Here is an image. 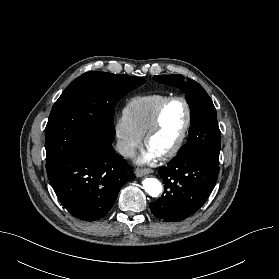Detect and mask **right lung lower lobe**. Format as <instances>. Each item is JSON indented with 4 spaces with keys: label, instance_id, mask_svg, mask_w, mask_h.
<instances>
[{
    "label": "right lung lower lobe",
    "instance_id": "98d812e1",
    "mask_svg": "<svg viewBox=\"0 0 279 279\" xmlns=\"http://www.w3.org/2000/svg\"><path fill=\"white\" fill-rule=\"evenodd\" d=\"M48 178L69 213L83 221H95L109 212L120 188L135 175L111 144H93L69 154Z\"/></svg>",
    "mask_w": 279,
    "mask_h": 279
}]
</instances>
